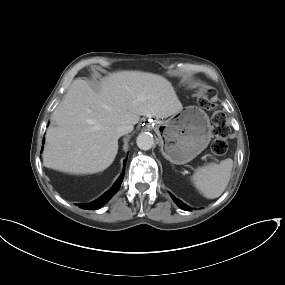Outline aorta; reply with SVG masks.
<instances>
[{"label": "aorta", "mask_w": 285, "mask_h": 285, "mask_svg": "<svg viewBox=\"0 0 285 285\" xmlns=\"http://www.w3.org/2000/svg\"><path fill=\"white\" fill-rule=\"evenodd\" d=\"M136 144L141 150H149L154 145L153 135L148 132H142L137 136Z\"/></svg>", "instance_id": "762f6f07"}]
</instances>
